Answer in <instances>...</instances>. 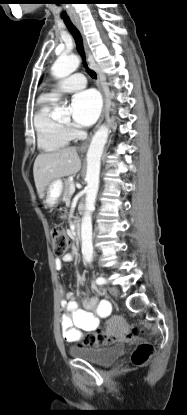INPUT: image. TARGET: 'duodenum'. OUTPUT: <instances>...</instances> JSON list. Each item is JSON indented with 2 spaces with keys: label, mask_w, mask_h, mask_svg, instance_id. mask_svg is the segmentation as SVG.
<instances>
[{
  "label": "duodenum",
  "mask_w": 187,
  "mask_h": 415,
  "mask_svg": "<svg viewBox=\"0 0 187 415\" xmlns=\"http://www.w3.org/2000/svg\"><path fill=\"white\" fill-rule=\"evenodd\" d=\"M73 235L75 239L80 240L81 238V222L76 220L73 226Z\"/></svg>",
  "instance_id": "duodenum-1"
}]
</instances>
